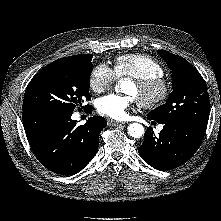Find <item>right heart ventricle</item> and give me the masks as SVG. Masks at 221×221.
Instances as JSON below:
<instances>
[{
    "mask_svg": "<svg viewBox=\"0 0 221 221\" xmlns=\"http://www.w3.org/2000/svg\"><path fill=\"white\" fill-rule=\"evenodd\" d=\"M114 72L117 77L148 79L162 77L163 66L152 57L145 54H125L114 60Z\"/></svg>",
    "mask_w": 221,
    "mask_h": 221,
    "instance_id": "obj_1",
    "label": "right heart ventricle"
}]
</instances>
